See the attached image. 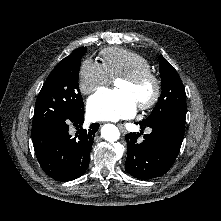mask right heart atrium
Masks as SVG:
<instances>
[{"instance_id": "right-heart-atrium-1", "label": "right heart atrium", "mask_w": 221, "mask_h": 221, "mask_svg": "<svg viewBox=\"0 0 221 221\" xmlns=\"http://www.w3.org/2000/svg\"><path fill=\"white\" fill-rule=\"evenodd\" d=\"M113 79L102 63L86 59L82 62L78 73V87L82 94L88 95L111 84Z\"/></svg>"}]
</instances>
